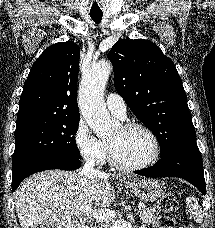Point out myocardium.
Wrapping results in <instances>:
<instances>
[{
  "mask_svg": "<svg viewBox=\"0 0 215 228\" xmlns=\"http://www.w3.org/2000/svg\"><path fill=\"white\" fill-rule=\"evenodd\" d=\"M122 127L127 130L133 129V128H140L143 131H145L151 141L152 149H151L149 156L142 163H139L136 165H125V164L120 163L117 160L113 147L108 143L109 157H110L111 164L115 168H117L121 171L135 172V171H139L144 168H147L152 163H154L156 161V159L158 158L159 152H160L159 141H158V138H157L155 132L148 125H146L142 122H136V121H130V122L124 123L122 125Z\"/></svg>",
  "mask_w": 215,
  "mask_h": 228,
  "instance_id": "myocardium-1",
  "label": "myocardium"
}]
</instances>
